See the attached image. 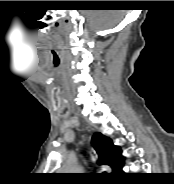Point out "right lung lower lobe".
<instances>
[{"label":"right lung lower lobe","instance_id":"right-lung-lower-lobe-1","mask_svg":"<svg viewBox=\"0 0 174 184\" xmlns=\"http://www.w3.org/2000/svg\"><path fill=\"white\" fill-rule=\"evenodd\" d=\"M123 173V171H122V167L120 168V170L116 173V174H122Z\"/></svg>","mask_w":174,"mask_h":184}]
</instances>
